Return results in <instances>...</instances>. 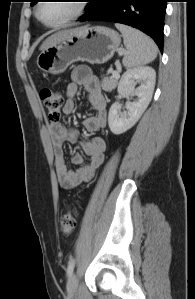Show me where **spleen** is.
Segmentation results:
<instances>
[{
  "instance_id": "3e777b00",
  "label": "spleen",
  "mask_w": 195,
  "mask_h": 299,
  "mask_svg": "<svg viewBox=\"0 0 195 299\" xmlns=\"http://www.w3.org/2000/svg\"><path fill=\"white\" fill-rule=\"evenodd\" d=\"M115 27L122 33L126 51L122 63L130 69L152 62L157 56V46L154 41L132 27L116 23Z\"/></svg>"
}]
</instances>
